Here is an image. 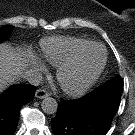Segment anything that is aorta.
<instances>
[{
  "mask_svg": "<svg viewBox=\"0 0 135 135\" xmlns=\"http://www.w3.org/2000/svg\"><path fill=\"white\" fill-rule=\"evenodd\" d=\"M42 110L46 114H54L57 112L58 103L52 97H46L41 104Z\"/></svg>",
  "mask_w": 135,
  "mask_h": 135,
  "instance_id": "obj_1",
  "label": "aorta"
}]
</instances>
